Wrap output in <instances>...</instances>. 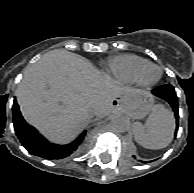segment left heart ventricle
Here are the masks:
<instances>
[{
  "label": "left heart ventricle",
  "mask_w": 194,
  "mask_h": 193,
  "mask_svg": "<svg viewBox=\"0 0 194 193\" xmlns=\"http://www.w3.org/2000/svg\"><path fill=\"white\" fill-rule=\"evenodd\" d=\"M158 74V71L154 68H150L146 71L145 73V78L146 79H154Z\"/></svg>",
  "instance_id": "1"
}]
</instances>
